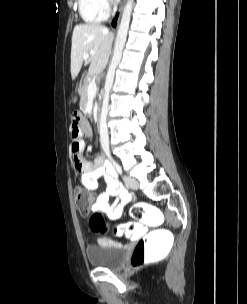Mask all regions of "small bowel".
<instances>
[{
    "instance_id": "c3829d8e",
    "label": "small bowel",
    "mask_w": 247,
    "mask_h": 304,
    "mask_svg": "<svg viewBox=\"0 0 247 304\" xmlns=\"http://www.w3.org/2000/svg\"><path fill=\"white\" fill-rule=\"evenodd\" d=\"M71 119H82V112H71ZM69 129L71 132L69 138L72 141L69 149L72 152L74 167L83 187L89 191H94L98 188L99 180L102 177L106 182V188L97 196L93 210L105 213L111 219L120 218L125 207L131 201V195L120 186L114 167L103 154L96 155L92 160L83 159L85 143L82 137L91 135L89 125L82 120H71ZM111 198H116L117 201L110 204Z\"/></svg>"
}]
</instances>
